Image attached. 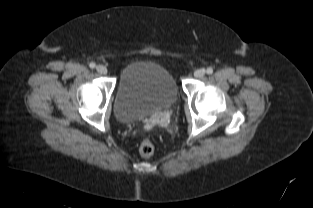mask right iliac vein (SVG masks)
Listing matches in <instances>:
<instances>
[{"mask_svg":"<svg viewBox=\"0 0 313 208\" xmlns=\"http://www.w3.org/2000/svg\"><path fill=\"white\" fill-rule=\"evenodd\" d=\"M96 70L100 74H107V68L104 65L96 66Z\"/></svg>","mask_w":313,"mask_h":208,"instance_id":"obj_1","label":"right iliac vein"}]
</instances>
